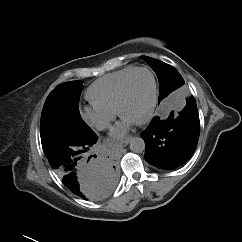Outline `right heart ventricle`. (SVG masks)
Listing matches in <instances>:
<instances>
[{
	"instance_id": "right-heart-ventricle-1",
	"label": "right heart ventricle",
	"mask_w": 242,
	"mask_h": 242,
	"mask_svg": "<svg viewBox=\"0 0 242 242\" xmlns=\"http://www.w3.org/2000/svg\"><path fill=\"white\" fill-rule=\"evenodd\" d=\"M136 67L129 66L97 79L87 89L86 95L91 103L116 111L117 98L120 87Z\"/></svg>"
}]
</instances>
